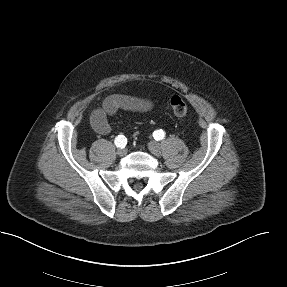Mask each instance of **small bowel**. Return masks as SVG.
Segmentation results:
<instances>
[{"label": "small bowel", "instance_id": "c3829d8e", "mask_svg": "<svg viewBox=\"0 0 287 287\" xmlns=\"http://www.w3.org/2000/svg\"><path fill=\"white\" fill-rule=\"evenodd\" d=\"M153 105V102L148 98L114 94L107 97L101 107L92 111L90 123L96 133L106 135L111 131L109 116L121 110L139 113L148 112L153 108Z\"/></svg>", "mask_w": 287, "mask_h": 287}]
</instances>
